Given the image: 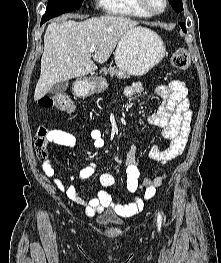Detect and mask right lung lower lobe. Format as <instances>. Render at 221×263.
Masks as SVG:
<instances>
[{"mask_svg": "<svg viewBox=\"0 0 221 263\" xmlns=\"http://www.w3.org/2000/svg\"><path fill=\"white\" fill-rule=\"evenodd\" d=\"M47 20H41V24L40 25H42L44 22H46Z\"/></svg>", "mask_w": 221, "mask_h": 263, "instance_id": "right-lung-lower-lobe-1", "label": "right lung lower lobe"}]
</instances>
